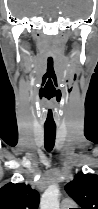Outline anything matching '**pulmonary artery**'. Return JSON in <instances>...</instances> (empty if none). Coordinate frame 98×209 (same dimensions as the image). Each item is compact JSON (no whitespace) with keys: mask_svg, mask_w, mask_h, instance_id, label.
<instances>
[{"mask_svg":"<svg viewBox=\"0 0 98 209\" xmlns=\"http://www.w3.org/2000/svg\"><path fill=\"white\" fill-rule=\"evenodd\" d=\"M72 205H73L72 200L64 199L61 201L60 209H70L72 207Z\"/></svg>","mask_w":98,"mask_h":209,"instance_id":"e3ab8cb5","label":"pulmonary artery"}]
</instances>
